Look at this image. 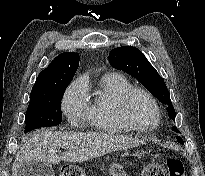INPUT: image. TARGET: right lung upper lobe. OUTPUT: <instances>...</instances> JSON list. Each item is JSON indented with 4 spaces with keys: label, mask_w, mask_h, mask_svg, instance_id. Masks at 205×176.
Listing matches in <instances>:
<instances>
[{
    "label": "right lung upper lobe",
    "mask_w": 205,
    "mask_h": 176,
    "mask_svg": "<svg viewBox=\"0 0 205 176\" xmlns=\"http://www.w3.org/2000/svg\"><path fill=\"white\" fill-rule=\"evenodd\" d=\"M79 65V54L65 52L59 54L50 65L40 72L30 96L45 94L68 85Z\"/></svg>",
    "instance_id": "right-lung-upper-lobe-1"
}]
</instances>
